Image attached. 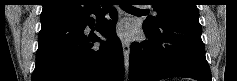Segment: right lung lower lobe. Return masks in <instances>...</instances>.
Masks as SVG:
<instances>
[{"instance_id":"98d812e1","label":"right lung lower lobe","mask_w":237,"mask_h":81,"mask_svg":"<svg viewBox=\"0 0 237 81\" xmlns=\"http://www.w3.org/2000/svg\"><path fill=\"white\" fill-rule=\"evenodd\" d=\"M92 4L81 14L41 22L32 81H123V51L114 28L117 11H110L113 20L103 19L98 25L97 31L110 41L96 47L90 41L99 37L84 33L86 26H94L90 15L100 14V3Z\"/></svg>"}]
</instances>
